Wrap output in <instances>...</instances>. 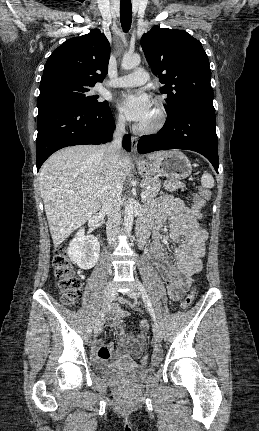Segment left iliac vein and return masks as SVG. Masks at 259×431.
<instances>
[{
    "label": "left iliac vein",
    "mask_w": 259,
    "mask_h": 431,
    "mask_svg": "<svg viewBox=\"0 0 259 431\" xmlns=\"http://www.w3.org/2000/svg\"><path fill=\"white\" fill-rule=\"evenodd\" d=\"M128 297L132 299H137L140 296V289L137 284H134L131 289L127 292ZM153 336L155 341L161 342L163 335L162 331L157 323L153 324Z\"/></svg>",
    "instance_id": "left-iliac-vein-1"
}]
</instances>
